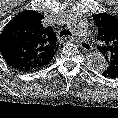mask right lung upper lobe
Masks as SVG:
<instances>
[{
  "label": "right lung upper lobe",
  "instance_id": "1",
  "mask_svg": "<svg viewBox=\"0 0 118 118\" xmlns=\"http://www.w3.org/2000/svg\"><path fill=\"white\" fill-rule=\"evenodd\" d=\"M44 16L24 10L15 16L0 34V52L5 61L21 71H35L54 57L58 45L51 27L42 24Z\"/></svg>",
  "mask_w": 118,
  "mask_h": 118
}]
</instances>
